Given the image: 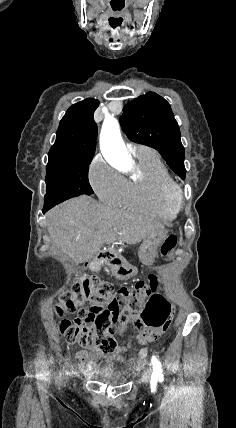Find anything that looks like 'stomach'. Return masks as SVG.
<instances>
[{
	"label": "stomach",
	"instance_id": "obj_1",
	"mask_svg": "<svg viewBox=\"0 0 236 428\" xmlns=\"http://www.w3.org/2000/svg\"><path fill=\"white\" fill-rule=\"evenodd\" d=\"M166 234L162 230H156L153 234H149L143 240L139 250L138 256L143 264H153L155 258L158 256V248L162 244ZM137 271L134 270L131 264H123L116 267V277L121 279L122 282H127L128 279H136Z\"/></svg>",
	"mask_w": 236,
	"mask_h": 428
}]
</instances>
